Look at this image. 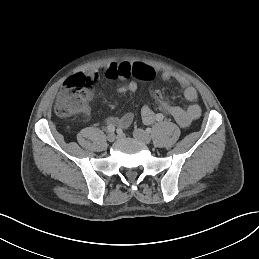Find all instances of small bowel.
Segmentation results:
<instances>
[{"mask_svg": "<svg viewBox=\"0 0 259 259\" xmlns=\"http://www.w3.org/2000/svg\"><path fill=\"white\" fill-rule=\"evenodd\" d=\"M101 73L109 79L126 80L131 78L127 83L118 88L120 92H134L137 90V80L151 81L155 77V71L151 67L141 63H112L103 68L100 72H93L85 78L89 83H95ZM172 78H175L180 83L184 98L191 103L187 108L172 105L163 98L162 94L157 89L152 90V97L160 111L173 118L181 127L186 128L201 116L202 110L200 106L195 103L197 100V92L194 87L189 85L185 79L179 75L172 72H164L162 74V79L164 81H168ZM141 116L142 120L148 124L153 121L154 112L150 107L144 106L141 109ZM132 120L133 114L126 113L119 117L108 118L107 123L116 125L120 128H126L131 124Z\"/></svg>", "mask_w": 259, "mask_h": 259, "instance_id": "small-bowel-1", "label": "small bowel"}]
</instances>
